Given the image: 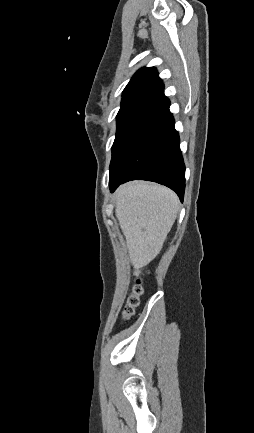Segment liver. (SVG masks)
<instances>
[{"label":"liver","mask_w":254,"mask_h":433,"mask_svg":"<svg viewBox=\"0 0 254 433\" xmlns=\"http://www.w3.org/2000/svg\"><path fill=\"white\" fill-rule=\"evenodd\" d=\"M115 203L130 262L142 268L161 251L177 217L178 197L165 186L131 182L118 188Z\"/></svg>","instance_id":"obj_1"}]
</instances>
